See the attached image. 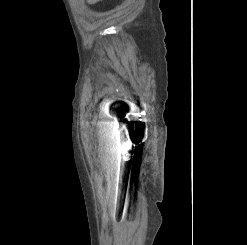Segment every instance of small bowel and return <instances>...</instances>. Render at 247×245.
Returning <instances> with one entry per match:
<instances>
[{"mask_svg":"<svg viewBox=\"0 0 247 245\" xmlns=\"http://www.w3.org/2000/svg\"><path fill=\"white\" fill-rule=\"evenodd\" d=\"M100 1H102V0H86V2H87L88 4H95V3H98V2H100Z\"/></svg>","mask_w":247,"mask_h":245,"instance_id":"small-bowel-1","label":"small bowel"}]
</instances>
